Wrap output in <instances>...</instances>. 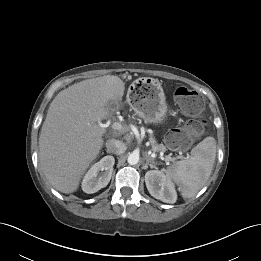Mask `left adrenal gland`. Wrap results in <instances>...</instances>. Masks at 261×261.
<instances>
[{
	"label": "left adrenal gland",
	"instance_id": "left-adrenal-gland-1",
	"mask_svg": "<svg viewBox=\"0 0 261 261\" xmlns=\"http://www.w3.org/2000/svg\"><path fill=\"white\" fill-rule=\"evenodd\" d=\"M145 160H146V165H149L151 168H155V165H154V160L146 154L145 156Z\"/></svg>",
	"mask_w": 261,
	"mask_h": 261
}]
</instances>
